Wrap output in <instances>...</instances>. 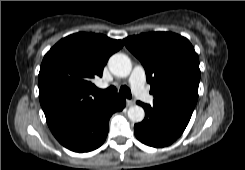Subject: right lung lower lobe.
<instances>
[{
    "mask_svg": "<svg viewBox=\"0 0 245 170\" xmlns=\"http://www.w3.org/2000/svg\"><path fill=\"white\" fill-rule=\"evenodd\" d=\"M125 105L126 100L120 94L101 100L57 140L75 152H88L100 147L107 137L111 115L121 111Z\"/></svg>",
    "mask_w": 245,
    "mask_h": 170,
    "instance_id": "98d812e1",
    "label": "right lung lower lobe"
}]
</instances>
